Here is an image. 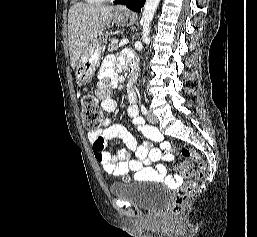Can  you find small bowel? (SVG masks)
<instances>
[{
	"label": "small bowel",
	"mask_w": 257,
	"mask_h": 237,
	"mask_svg": "<svg viewBox=\"0 0 257 237\" xmlns=\"http://www.w3.org/2000/svg\"><path fill=\"white\" fill-rule=\"evenodd\" d=\"M119 67L121 65L117 64L112 56H108L104 59L99 73L95 94L100 99L101 107L106 113H113L117 109V102L110 97V94L116 87V70ZM128 115L141 132L148 139L158 142L159 146L153 147L148 142L138 145L125 126L114 124L111 119L106 118L102 122L101 129L90 131L87 134L88 140L93 146L95 159L102 165L103 170L113 177H120L132 172L137 180L166 181L171 186L179 185L182 178L178 175H169L163 164H159L155 168L150 167L152 162L161 158L165 161L172 160L173 153L169 143L157 129L144 124L134 103L129 105ZM116 138H120L126 148L120 149L115 155H112L108 146ZM131 154H133V158H131Z\"/></svg>",
	"instance_id": "1"
}]
</instances>
